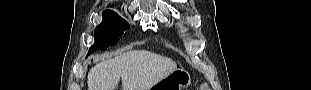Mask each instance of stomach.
<instances>
[{
  "label": "stomach",
  "instance_id": "obj_1",
  "mask_svg": "<svg viewBox=\"0 0 311 90\" xmlns=\"http://www.w3.org/2000/svg\"><path fill=\"white\" fill-rule=\"evenodd\" d=\"M191 82V74L187 70L176 68L165 78L153 85L150 90H187Z\"/></svg>",
  "mask_w": 311,
  "mask_h": 90
}]
</instances>
